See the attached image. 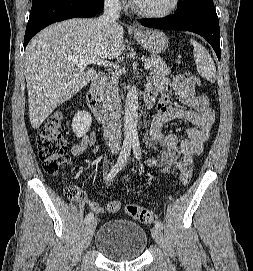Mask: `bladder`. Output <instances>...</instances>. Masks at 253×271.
<instances>
[{"label":"bladder","instance_id":"bladder-1","mask_svg":"<svg viewBox=\"0 0 253 271\" xmlns=\"http://www.w3.org/2000/svg\"><path fill=\"white\" fill-rule=\"evenodd\" d=\"M147 244L148 237L144 228L126 219H113L104 223L95 237L97 250L113 261L140 258Z\"/></svg>","mask_w":253,"mask_h":271}]
</instances>
